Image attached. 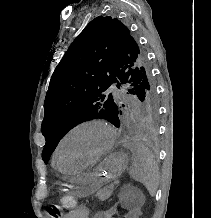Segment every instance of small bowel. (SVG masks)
<instances>
[{
    "label": "small bowel",
    "instance_id": "c3829d8e",
    "mask_svg": "<svg viewBox=\"0 0 211 218\" xmlns=\"http://www.w3.org/2000/svg\"><path fill=\"white\" fill-rule=\"evenodd\" d=\"M119 209L123 210L121 218H139L138 209L130 207L126 204H119L109 208L108 210L98 211L94 214L93 218H115L119 213ZM71 217L89 218L90 212L85 206H80L72 212Z\"/></svg>",
    "mask_w": 211,
    "mask_h": 218
}]
</instances>
